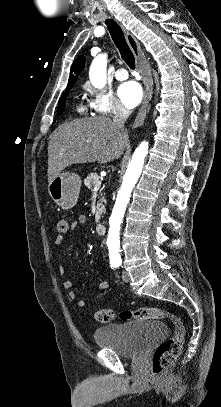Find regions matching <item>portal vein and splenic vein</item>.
<instances>
[{
  "mask_svg": "<svg viewBox=\"0 0 221 407\" xmlns=\"http://www.w3.org/2000/svg\"><path fill=\"white\" fill-rule=\"evenodd\" d=\"M101 184H102V182H101L100 180H98V181L95 183L94 189H95V190L99 189V188L101 187Z\"/></svg>",
  "mask_w": 221,
  "mask_h": 407,
  "instance_id": "portal-vein-and-splenic-vein-1",
  "label": "portal vein and splenic vein"
}]
</instances>
